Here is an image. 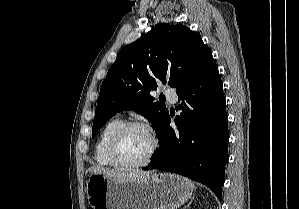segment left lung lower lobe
I'll return each mask as SVG.
<instances>
[{
  "label": "left lung lower lobe",
  "mask_w": 299,
  "mask_h": 209,
  "mask_svg": "<svg viewBox=\"0 0 299 209\" xmlns=\"http://www.w3.org/2000/svg\"><path fill=\"white\" fill-rule=\"evenodd\" d=\"M176 93L183 100L177 128L170 127L168 114L157 131L160 149L143 170L186 176L205 184L221 200L229 132L223 84L213 57Z\"/></svg>",
  "instance_id": "obj_1"
}]
</instances>
